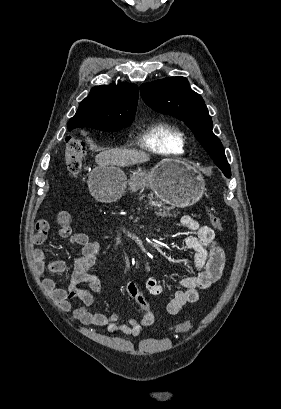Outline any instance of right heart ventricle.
Returning <instances> with one entry per match:
<instances>
[{
  "label": "right heart ventricle",
  "mask_w": 281,
  "mask_h": 409,
  "mask_svg": "<svg viewBox=\"0 0 281 409\" xmlns=\"http://www.w3.org/2000/svg\"><path fill=\"white\" fill-rule=\"evenodd\" d=\"M151 148L166 156L183 155L185 152V139L182 130L169 122L158 121L153 124L148 132Z\"/></svg>",
  "instance_id": "1"
}]
</instances>
